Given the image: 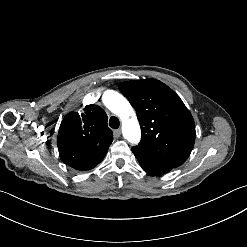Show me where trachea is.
Listing matches in <instances>:
<instances>
[{
    "label": "trachea",
    "mask_w": 247,
    "mask_h": 247,
    "mask_svg": "<svg viewBox=\"0 0 247 247\" xmlns=\"http://www.w3.org/2000/svg\"><path fill=\"white\" fill-rule=\"evenodd\" d=\"M109 126L113 129L119 128V120L117 117L112 116L109 120Z\"/></svg>",
    "instance_id": "trachea-1"
}]
</instances>
